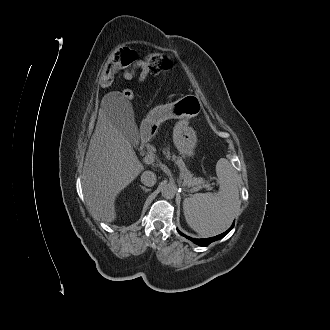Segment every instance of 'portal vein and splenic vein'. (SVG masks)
Here are the masks:
<instances>
[{"label":"portal vein and splenic vein","mask_w":330,"mask_h":330,"mask_svg":"<svg viewBox=\"0 0 330 330\" xmlns=\"http://www.w3.org/2000/svg\"><path fill=\"white\" fill-rule=\"evenodd\" d=\"M143 160H144V162L146 163V164H152L153 162H155V157L153 156V155H146L144 158H143ZM203 187H206V188H208L209 187V185H205V186H203ZM201 188V187H200ZM199 188V189H200ZM196 190H198V189H196V188H194V189H192L191 190V192H194V191H196Z\"/></svg>","instance_id":"obj_1"}]
</instances>
